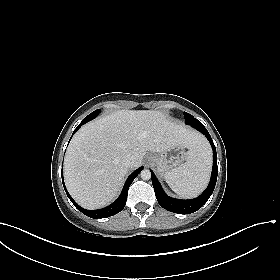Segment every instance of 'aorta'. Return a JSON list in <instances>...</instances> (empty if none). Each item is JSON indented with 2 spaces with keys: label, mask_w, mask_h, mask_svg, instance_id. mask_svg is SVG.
Here are the masks:
<instances>
[{
  "label": "aorta",
  "mask_w": 280,
  "mask_h": 280,
  "mask_svg": "<svg viewBox=\"0 0 280 280\" xmlns=\"http://www.w3.org/2000/svg\"><path fill=\"white\" fill-rule=\"evenodd\" d=\"M140 175L143 180H149L151 178V172L147 169L142 170Z\"/></svg>",
  "instance_id": "762f6f07"
}]
</instances>
